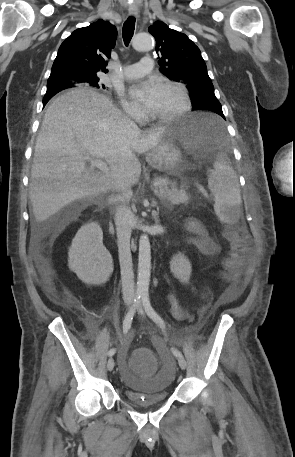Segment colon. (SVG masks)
I'll use <instances>...</instances> for the list:
<instances>
[{
	"instance_id": "5ec220e1",
	"label": "colon",
	"mask_w": 295,
	"mask_h": 457,
	"mask_svg": "<svg viewBox=\"0 0 295 457\" xmlns=\"http://www.w3.org/2000/svg\"><path fill=\"white\" fill-rule=\"evenodd\" d=\"M226 237L230 243L229 257L225 261L226 277L234 280L248 254L251 240L248 234L240 230H228ZM152 346H133L131 363L133 372H156V360L152 357Z\"/></svg>"
}]
</instances>
